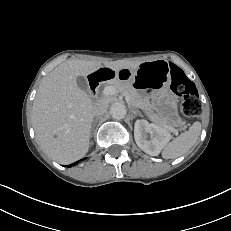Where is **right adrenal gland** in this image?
<instances>
[{
  "instance_id": "obj_1",
  "label": "right adrenal gland",
  "mask_w": 231,
  "mask_h": 231,
  "mask_svg": "<svg viewBox=\"0 0 231 231\" xmlns=\"http://www.w3.org/2000/svg\"><path fill=\"white\" fill-rule=\"evenodd\" d=\"M94 123H95V121H93V127L92 128H94Z\"/></svg>"
}]
</instances>
